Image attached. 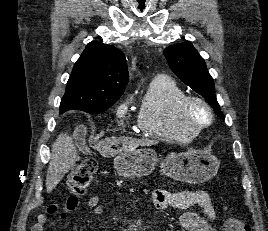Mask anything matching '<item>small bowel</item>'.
Returning <instances> with one entry per match:
<instances>
[{
  "instance_id": "small-bowel-1",
  "label": "small bowel",
  "mask_w": 268,
  "mask_h": 231,
  "mask_svg": "<svg viewBox=\"0 0 268 231\" xmlns=\"http://www.w3.org/2000/svg\"><path fill=\"white\" fill-rule=\"evenodd\" d=\"M88 207L95 215H101L104 212V207L100 203V198L97 195H91L87 202ZM153 206L158 212L167 208L187 209L193 206L201 208V212H185L178 219V225L182 231H216L213 222L216 213L212 204L211 197L208 192L199 191H182L171 192L165 190H155L153 195ZM56 211V206L48 207V212ZM43 220L40 222V218ZM48 221L46 214L37 216V223L33 224L31 231H44L45 224Z\"/></svg>"
}]
</instances>
